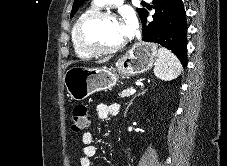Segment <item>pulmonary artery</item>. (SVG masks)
Instances as JSON below:
<instances>
[{"instance_id": "obj_1", "label": "pulmonary artery", "mask_w": 227, "mask_h": 166, "mask_svg": "<svg viewBox=\"0 0 227 166\" xmlns=\"http://www.w3.org/2000/svg\"><path fill=\"white\" fill-rule=\"evenodd\" d=\"M94 1L96 5L99 7H102L107 4H118L122 2V0H94ZM145 1H149V0H145Z\"/></svg>"}]
</instances>
